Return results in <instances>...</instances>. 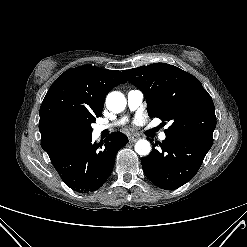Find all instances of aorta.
Here are the masks:
<instances>
[{
  "label": "aorta",
  "mask_w": 247,
  "mask_h": 247,
  "mask_svg": "<svg viewBox=\"0 0 247 247\" xmlns=\"http://www.w3.org/2000/svg\"><path fill=\"white\" fill-rule=\"evenodd\" d=\"M125 96L118 91L110 92L106 97V106L113 113H120L126 107ZM135 151L142 156H146L151 152V145L148 140L141 139L135 144Z\"/></svg>",
  "instance_id": "aorta-1"
}]
</instances>
